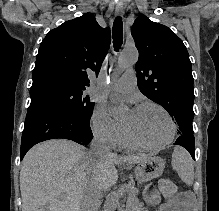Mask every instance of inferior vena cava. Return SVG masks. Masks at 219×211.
<instances>
[{"mask_svg": "<svg viewBox=\"0 0 219 211\" xmlns=\"http://www.w3.org/2000/svg\"><path fill=\"white\" fill-rule=\"evenodd\" d=\"M91 149L89 151V159L91 161V165H94L91 167L92 171H101L102 167L104 165L103 161H98V159H106V157H109L111 155V149L108 145L107 137H104V135H98V137H94L91 141L90 145ZM89 193L92 191L90 188L87 190ZM81 202V211H96L95 208V202L93 201L92 197H83Z\"/></svg>", "mask_w": 219, "mask_h": 211, "instance_id": "inferior-vena-cava-1", "label": "inferior vena cava"}]
</instances>
